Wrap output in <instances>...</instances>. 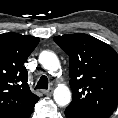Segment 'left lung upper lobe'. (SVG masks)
Wrapping results in <instances>:
<instances>
[{"label": "left lung upper lobe", "instance_id": "left-lung-upper-lobe-1", "mask_svg": "<svg viewBox=\"0 0 118 118\" xmlns=\"http://www.w3.org/2000/svg\"><path fill=\"white\" fill-rule=\"evenodd\" d=\"M69 59L74 111L111 116L118 105V54L108 44L86 34L54 37Z\"/></svg>", "mask_w": 118, "mask_h": 118}]
</instances>
